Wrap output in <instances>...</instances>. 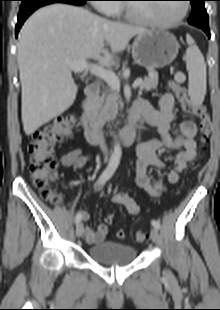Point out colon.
Segmentation results:
<instances>
[{
	"instance_id": "obj_1",
	"label": "colon",
	"mask_w": 220,
	"mask_h": 310,
	"mask_svg": "<svg viewBox=\"0 0 220 310\" xmlns=\"http://www.w3.org/2000/svg\"><path fill=\"white\" fill-rule=\"evenodd\" d=\"M183 81L184 76L177 74L175 80L171 82V87L181 104L182 110L199 120L198 139L201 144H205L213 127L211 117L202 104L190 98L187 89L182 86ZM75 122L76 119L74 116L60 118L52 124L35 131L29 145V170L32 174L34 185L42 192L43 197L53 204H59L61 202V195L57 189L51 186L56 178L58 167L53 150L64 136L71 133ZM114 218L113 214H109L106 217V222L111 224ZM116 236L119 239H124L126 233L124 230H119ZM144 239L145 234L141 231L136 232L133 236V240L137 243L143 242Z\"/></svg>"
}]
</instances>
